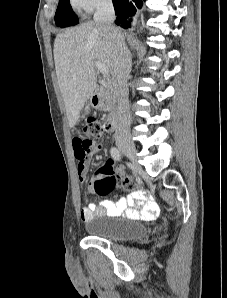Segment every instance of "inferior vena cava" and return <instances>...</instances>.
I'll list each match as a JSON object with an SVG mask.
<instances>
[{"label":"inferior vena cava","instance_id":"1","mask_svg":"<svg viewBox=\"0 0 227 298\" xmlns=\"http://www.w3.org/2000/svg\"><path fill=\"white\" fill-rule=\"evenodd\" d=\"M115 11L112 0H101L94 14V22L107 32L113 41V74L112 84L118 103V126L115 131V140L130 138V114L128 100L127 77L131 71L132 58L124 38L117 33L113 26Z\"/></svg>","mask_w":227,"mask_h":298}]
</instances>
